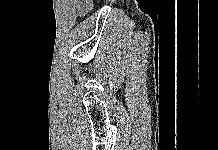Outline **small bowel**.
<instances>
[{
  "label": "small bowel",
  "mask_w": 218,
  "mask_h": 150,
  "mask_svg": "<svg viewBox=\"0 0 218 150\" xmlns=\"http://www.w3.org/2000/svg\"><path fill=\"white\" fill-rule=\"evenodd\" d=\"M90 6H91V3H90V2H86V3H85V8H86V9L90 8Z\"/></svg>",
  "instance_id": "c3829d8e"
}]
</instances>
